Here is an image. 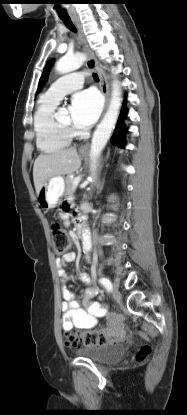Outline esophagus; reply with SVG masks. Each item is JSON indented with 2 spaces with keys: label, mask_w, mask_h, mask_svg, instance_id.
Here are the masks:
<instances>
[{
  "label": "esophagus",
  "mask_w": 187,
  "mask_h": 415,
  "mask_svg": "<svg viewBox=\"0 0 187 415\" xmlns=\"http://www.w3.org/2000/svg\"><path fill=\"white\" fill-rule=\"evenodd\" d=\"M74 23H75L76 27L78 28L80 42L83 46V51L86 55V66H87L88 69H95L99 74L100 84H101V91L105 96V108H104V111H105V109L107 108L108 102H109V85H108L107 77H106L104 71L98 65V62L94 58V55L91 52V50H90V48L87 44V41L85 39L80 21L78 19H75ZM80 149L83 150V151L87 150L88 149V144H85V145L81 146Z\"/></svg>",
  "instance_id": "esophagus-1"
}]
</instances>
